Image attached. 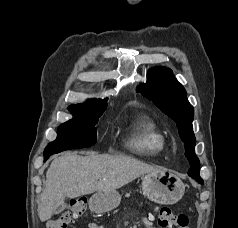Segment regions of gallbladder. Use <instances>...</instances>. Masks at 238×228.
Segmentation results:
<instances>
[{
  "label": "gallbladder",
  "mask_w": 238,
  "mask_h": 228,
  "mask_svg": "<svg viewBox=\"0 0 238 228\" xmlns=\"http://www.w3.org/2000/svg\"><path fill=\"white\" fill-rule=\"evenodd\" d=\"M65 208V205H60L56 210H55V213H60L64 210Z\"/></svg>",
  "instance_id": "gallbladder-1"
}]
</instances>
